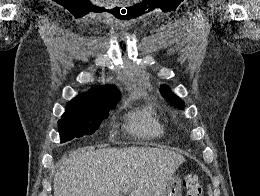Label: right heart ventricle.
<instances>
[{
  "mask_svg": "<svg viewBox=\"0 0 260 196\" xmlns=\"http://www.w3.org/2000/svg\"><path fill=\"white\" fill-rule=\"evenodd\" d=\"M131 126L135 132L144 137H159L165 133L161 120L147 111H139L130 116ZM115 192H123L116 190Z\"/></svg>",
  "mask_w": 260,
  "mask_h": 196,
  "instance_id": "obj_1",
  "label": "right heart ventricle"
}]
</instances>
